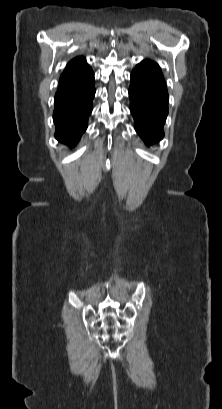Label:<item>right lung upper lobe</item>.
I'll return each mask as SVG.
<instances>
[{"instance_id": "obj_1", "label": "right lung upper lobe", "mask_w": 222, "mask_h": 409, "mask_svg": "<svg viewBox=\"0 0 222 409\" xmlns=\"http://www.w3.org/2000/svg\"><path fill=\"white\" fill-rule=\"evenodd\" d=\"M89 69H91V67L86 63L85 58L77 57V58L71 60L67 64L66 69L62 74H66V73H73V74L84 73V72H87ZM71 87H72L71 85L60 81L58 91L70 89Z\"/></svg>"}]
</instances>
